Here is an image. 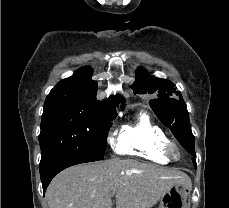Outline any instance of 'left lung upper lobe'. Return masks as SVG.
Returning a JSON list of instances; mask_svg holds the SVG:
<instances>
[{"mask_svg": "<svg viewBox=\"0 0 229 208\" xmlns=\"http://www.w3.org/2000/svg\"><path fill=\"white\" fill-rule=\"evenodd\" d=\"M137 81L130 86L135 94L158 93V99L151 100L150 106L161 122L172 131L179 143L185 147L194 144L189 114L181 93L175 85L165 79L152 78L141 67L136 71ZM173 93L179 100L170 98Z\"/></svg>", "mask_w": 229, "mask_h": 208, "instance_id": "obj_1", "label": "left lung upper lobe"}]
</instances>
